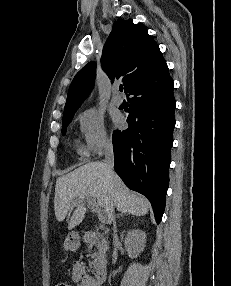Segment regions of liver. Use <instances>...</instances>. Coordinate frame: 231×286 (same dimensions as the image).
Instances as JSON below:
<instances>
[{
  "label": "liver",
  "instance_id": "6515ba94",
  "mask_svg": "<svg viewBox=\"0 0 231 286\" xmlns=\"http://www.w3.org/2000/svg\"><path fill=\"white\" fill-rule=\"evenodd\" d=\"M85 199L97 201L104 209L108 222L112 221V208L136 216L146 215L150 208L149 201L130 191L116 173L109 175L103 162L87 163L57 179L54 197L56 219L63 221L73 202H76L77 207L68 223V229H73L82 222L87 212Z\"/></svg>",
  "mask_w": 231,
  "mask_h": 286
}]
</instances>
